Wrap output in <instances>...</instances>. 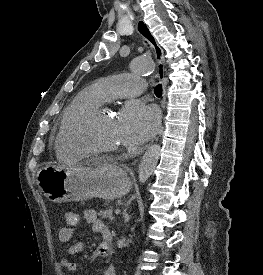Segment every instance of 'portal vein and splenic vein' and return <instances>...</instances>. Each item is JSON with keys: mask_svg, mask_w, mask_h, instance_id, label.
<instances>
[{"mask_svg": "<svg viewBox=\"0 0 263 275\" xmlns=\"http://www.w3.org/2000/svg\"><path fill=\"white\" fill-rule=\"evenodd\" d=\"M120 212H121L120 209H116V210H115V214H116V215L120 214Z\"/></svg>", "mask_w": 263, "mask_h": 275, "instance_id": "1", "label": "portal vein and splenic vein"}]
</instances>
